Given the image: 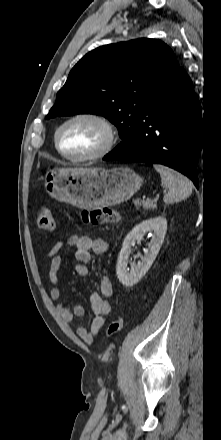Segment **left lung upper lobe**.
<instances>
[{"label":"left lung upper lobe","mask_w":221,"mask_h":440,"mask_svg":"<svg viewBox=\"0 0 221 440\" xmlns=\"http://www.w3.org/2000/svg\"><path fill=\"white\" fill-rule=\"evenodd\" d=\"M173 51L157 39H135L101 46L87 53L70 71L47 119L80 113L108 118L126 147L146 105L175 74Z\"/></svg>","instance_id":"left-lung-upper-lobe-1"}]
</instances>
